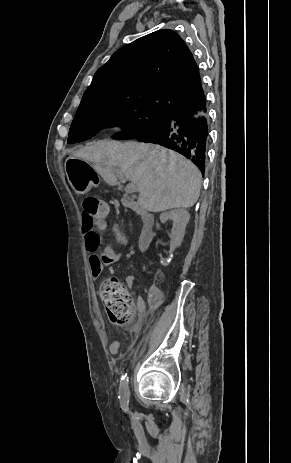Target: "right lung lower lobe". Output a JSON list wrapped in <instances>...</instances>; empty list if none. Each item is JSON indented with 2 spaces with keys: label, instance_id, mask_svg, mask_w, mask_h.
<instances>
[{
  "label": "right lung lower lobe",
  "instance_id": "right-lung-lower-lobe-1",
  "mask_svg": "<svg viewBox=\"0 0 291 463\" xmlns=\"http://www.w3.org/2000/svg\"><path fill=\"white\" fill-rule=\"evenodd\" d=\"M209 137L206 99L194 112L173 111L153 130L138 136L142 142L160 144L190 159L202 173Z\"/></svg>",
  "mask_w": 291,
  "mask_h": 463
}]
</instances>
